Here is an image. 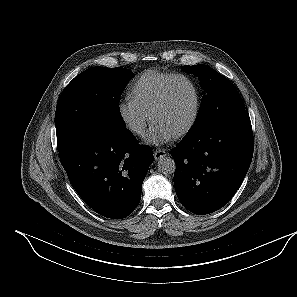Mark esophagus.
Instances as JSON below:
<instances>
[{
  "label": "esophagus",
  "mask_w": 297,
  "mask_h": 297,
  "mask_svg": "<svg viewBox=\"0 0 297 297\" xmlns=\"http://www.w3.org/2000/svg\"><path fill=\"white\" fill-rule=\"evenodd\" d=\"M166 156V151L163 149L154 150V158L155 160H159Z\"/></svg>",
  "instance_id": "34e87169"
}]
</instances>
